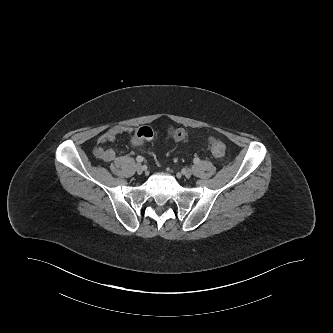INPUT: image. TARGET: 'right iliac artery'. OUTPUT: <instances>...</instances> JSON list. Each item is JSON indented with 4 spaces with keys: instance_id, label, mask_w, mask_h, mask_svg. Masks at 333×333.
Here are the masks:
<instances>
[{
    "instance_id": "right-iliac-artery-1",
    "label": "right iliac artery",
    "mask_w": 333,
    "mask_h": 333,
    "mask_svg": "<svg viewBox=\"0 0 333 333\" xmlns=\"http://www.w3.org/2000/svg\"><path fill=\"white\" fill-rule=\"evenodd\" d=\"M136 160L137 162L141 163L144 161V158L142 156H137Z\"/></svg>"
}]
</instances>
